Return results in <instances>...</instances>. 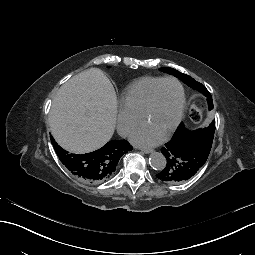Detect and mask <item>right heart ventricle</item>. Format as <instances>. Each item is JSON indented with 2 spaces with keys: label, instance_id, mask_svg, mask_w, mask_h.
I'll return each mask as SVG.
<instances>
[{
  "label": "right heart ventricle",
  "instance_id": "obj_1",
  "mask_svg": "<svg viewBox=\"0 0 255 255\" xmlns=\"http://www.w3.org/2000/svg\"><path fill=\"white\" fill-rule=\"evenodd\" d=\"M162 79L143 77L130 84L119 96L120 106L140 117L152 88Z\"/></svg>",
  "mask_w": 255,
  "mask_h": 255
}]
</instances>
